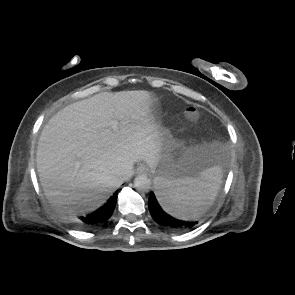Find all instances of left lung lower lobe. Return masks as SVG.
Here are the masks:
<instances>
[{"label":"left lung lower lobe","mask_w":295,"mask_h":295,"mask_svg":"<svg viewBox=\"0 0 295 295\" xmlns=\"http://www.w3.org/2000/svg\"><path fill=\"white\" fill-rule=\"evenodd\" d=\"M148 206L153 219L166 228L184 231L193 228L197 224L194 221H183L171 216L161 207L153 192L150 193Z\"/></svg>","instance_id":"1"}]
</instances>
